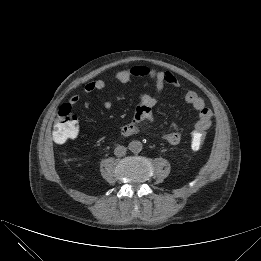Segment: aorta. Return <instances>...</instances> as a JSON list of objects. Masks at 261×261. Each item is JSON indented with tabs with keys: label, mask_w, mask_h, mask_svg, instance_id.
<instances>
[{
	"label": "aorta",
	"mask_w": 261,
	"mask_h": 261,
	"mask_svg": "<svg viewBox=\"0 0 261 261\" xmlns=\"http://www.w3.org/2000/svg\"><path fill=\"white\" fill-rule=\"evenodd\" d=\"M129 150L133 153H139L141 152L143 145L140 141L134 140L129 143Z\"/></svg>",
	"instance_id": "obj_1"
}]
</instances>
